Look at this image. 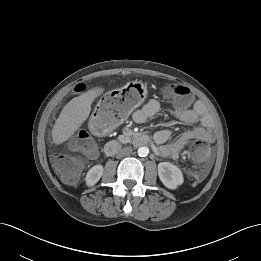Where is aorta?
Returning <instances> with one entry per match:
<instances>
[{"label":"aorta","instance_id":"obj_1","mask_svg":"<svg viewBox=\"0 0 261 261\" xmlns=\"http://www.w3.org/2000/svg\"><path fill=\"white\" fill-rule=\"evenodd\" d=\"M137 152H138V155H139L140 157H145V156H147L149 150H148L147 147H140V148H138V151H137Z\"/></svg>","mask_w":261,"mask_h":261}]
</instances>
